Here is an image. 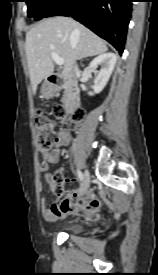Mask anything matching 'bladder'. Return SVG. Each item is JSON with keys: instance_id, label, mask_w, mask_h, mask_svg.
<instances>
[{"instance_id": "31cf9c89", "label": "bladder", "mask_w": 158, "mask_h": 275, "mask_svg": "<svg viewBox=\"0 0 158 275\" xmlns=\"http://www.w3.org/2000/svg\"><path fill=\"white\" fill-rule=\"evenodd\" d=\"M58 230L67 234H81L83 225L79 221H68L60 225Z\"/></svg>"}]
</instances>
